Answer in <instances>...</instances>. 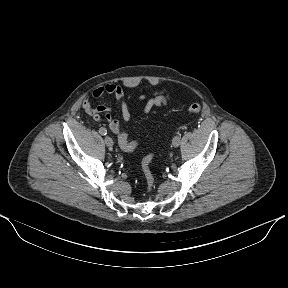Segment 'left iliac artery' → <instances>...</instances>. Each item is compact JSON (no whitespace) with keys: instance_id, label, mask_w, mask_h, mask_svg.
Segmentation results:
<instances>
[{"instance_id":"1","label":"left iliac artery","mask_w":288,"mask_h":288,"mask_svg":"<svg viewBox=\"0 0 288 288\" xmlns=\"http://www.w3.org/2000/svg\"><path fill=\"white\" fill-rule=\"evenodd\" d=\"M176 137L177 138H182L183 137V132L180 129H177L175 131Z\"/></svg>"}]
</instances>
